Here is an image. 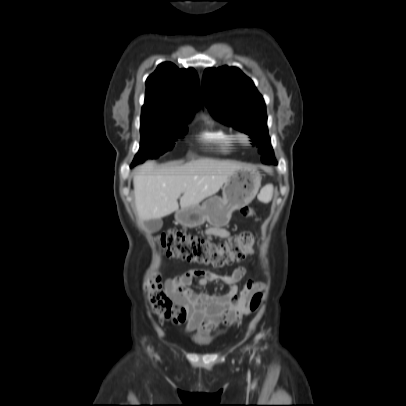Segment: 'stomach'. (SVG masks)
Segmentation results:
<instances>
[{
  "mask_svg": "<svg viewBox=\"0 0 406 406\" xmlns=\"http://www.w3.org/2000/svg\"><path fill=\"white\" fill-rule=\"evenodd\" d=\"M261 186L260 173L242 167L229 176L222 189V198L209 197L202 205H193L176 212V220L185 227H197L207 221L214 227H223L230 221L232 212L247 206Z\"/></svg>",
  "mask_w": 406,
  "mask_h": 406,
  "instance_id": "1",
  "label": "stomach"
}]
</instances>
